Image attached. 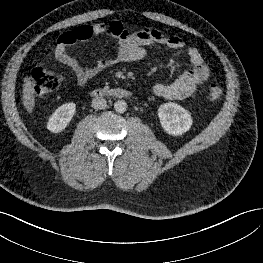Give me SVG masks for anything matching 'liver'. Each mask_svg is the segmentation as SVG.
Masks as SVG:
<instances>
[{"label":"liver","instance_id":"liver-1","mask_svg":"<svg viewBox=\"0 0 263 263\" xmlns=\"http://www.w3.org/2000/svg\"><path fill=\"white\" fill-rule=\"evenodd\" d=\"M23 105L31 113L35 106L34 89L30 77H25L23 84Z\"/></svg>","mask_w":263,"mask_h":263}]
</instances>
